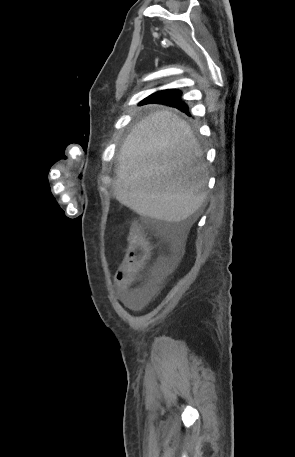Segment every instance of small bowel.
<instances>
[{
    "mask_svg": "<svg viewBox=\"0 0 295 457\" xmlns=\"http://www.w3.org/2000/svg\"><path fill=\"white\" fill-rule=\"evenodd\" d=\"M116 281L119 289L121 290L122 299L129 308L137 310L143 308L150 301L151 292L147 288H130L133 279L128 276L117 273Z\"/></svg>",
    "mask_w": 295,
    "mask_h": 457,
    "instance_id": "1",
    "label": "small bowel"
}]
</instances>
